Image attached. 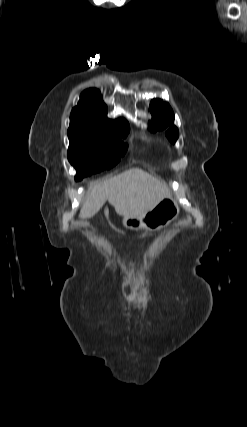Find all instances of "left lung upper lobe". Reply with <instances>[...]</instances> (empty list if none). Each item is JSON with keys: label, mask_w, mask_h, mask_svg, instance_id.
<instances>
[{"label": "left lung upper lobe", "mask_w": 247, "mask_h": 427, "mask_svg": "<svg viewBox=\"0 0 247 427\" xmlns=\"http://www.w3.org/2000/svg\"><path fill=\"white\" fill-rule=\"evenodd\" d=\"M152 120L149 122V129L153 132L170 127L166 131L169 141L175 143L178 139V129L173 125L174 113L168 103H163L160 99H153L150 103Z\"/></svg>", "instance_id": "5c2ea615"}]
</instances>
